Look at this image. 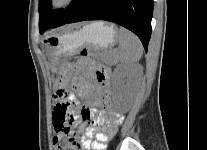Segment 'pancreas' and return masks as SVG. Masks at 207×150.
I'll return each mask as SVG.
<instances>
[{"mask_svg":"<svg viewBox=\"0 0 207 150\" xmlns=\"http://www.w3.org/2000/svg\"><path fill=\"white\" fill-rule=\"evenodd\" d=\"M101 60L109 65H114L117 63V56L112 50L104 51L101 53Z\"/></svg>","mask_w":207,"mask_h":150,"instance_id":"cf45deb5","label":"pancreas"}]
</instances>
